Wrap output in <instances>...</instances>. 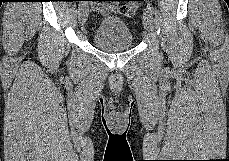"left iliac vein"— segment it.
I'll use <instances>...</instances> for the list:
<instances>
[{"label": "left iliac vein", "mask_w": 229, "mask_h": 161, "mask_svg": "<svg viewBox=\"0 0 229 161\" xmlns=\"http://www.w3.org/2000/svg\"><path fill=\"white\" fill-rule=\"evenodd\" d=\"M143 24L145 29L149 32L152 33L154 30V19L153 15L149 10H145L144 15H143Z\"/></svg>", "instance_id": "obj_1"}]
</instances>
